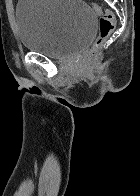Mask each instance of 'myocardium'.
Returning <instances> with one entry per match:
<instances>
[{
    "mask_svg": "<svg viewBox=\"0 0 140 196\" xmlns=\"http://www.w3.org/2000/svg\"><path fill=\"white\" fill-rule=\"evenodd\" d=\"M39 192H45V191H39ZM53 192H60V191H53Z\"/></svg>",
    "mask_w": 140,
    "mask_h": 196,
    "instance_id": "1",
    "label": "myocardium"
}]
</instances>
